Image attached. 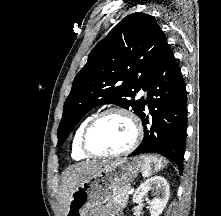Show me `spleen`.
<instances>
[{"instance_id":"obj_1","label":"spleen","mask_w":221,"mask_h":216,"mask_svg":"<svg viewBox=\"0 0 221 216\" xmlns=\"http://www.w3.org/2000/svg\"><path fill=\"white\" fill-rule=\"evenodd\" d=\"M141 166L143 177H149L164 168L167 162L153 155H142L137 159Z\"/></svg>"}]
</instances>
